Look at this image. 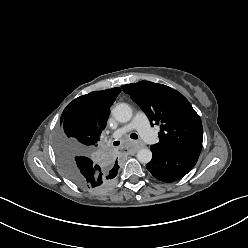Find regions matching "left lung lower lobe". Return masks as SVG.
Listing matches in <instances>:
<instances>
[{
    "mask_svg": "<svg viewBox=\"0 0 248 248\" xmlns=\"http://www.w3.org/2000/svg\"><path fill=\"white\" fill-rule=\"evenodd\" d=\"M152 160L146 168L158 180L174 182L184 177L196 164L201 152L199 147L176 150H159L151 147Z\"/></svg>",
    "mask_w": 248,
    "mask_h": 248,
    "instance_id": "1",
    "label": "left lung lower lobe"
}]
</instances>
